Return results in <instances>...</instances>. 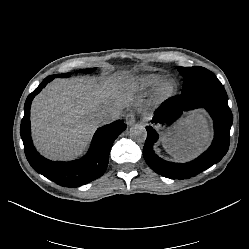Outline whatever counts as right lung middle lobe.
I'll list each match as a JSON object with an SVG mask.
<instances>
[{"mask_svg":"<svg viewBox=\"0 0 249 249\" xmlns=\"http://www.w3.org/2000/svg\"><path fill=\"white\" fill-rule=\"evenodd\" d=\"M94 69H82L79 71L82 73H92ZM70 75H71L70 73H65V74L51 75L50 77L53 79L55 77H69Z\"/></svg>","mask_w":249,"mask_h":249,"instance_id":"dd1d6c3e","label":"right lung middle lobe"}]
</instances>
